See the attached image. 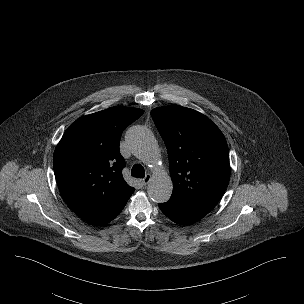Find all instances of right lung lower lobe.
Returning <instances> with one entry per match:
<instances>
[{"mask_svg":"<svg viewBox=\"0 0 304 304\" xmlns=\"http://www.w3.org/2000/svg\"><path fill=\"white\" fill-rule=\"evenodd\" d=\"M128 201V200H127ZM127 201L123 203L114 213H112L109 217H107L103 222H101V225L107 224L110 221H112L118 214L122 211L124 206L126 205Z\"/></svg>","mask_w":304,"mask_h":304,"instance_id":"right-lung-lower-lobe-1","label":"right lung lower lobe"}]
</instances>
